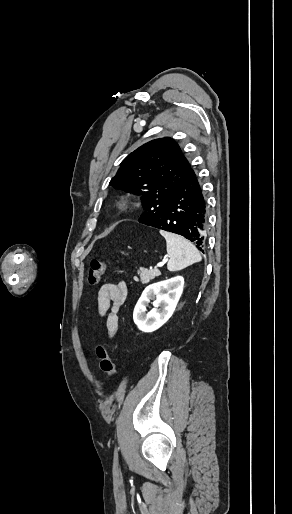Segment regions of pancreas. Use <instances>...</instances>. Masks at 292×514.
<instances>
[{"label": "pancreas", "mask_w": 292, "mask_h": 514, "mask_svg": "<svg viewBox=\"0 0 292 514\" xmlns=\"http://www.w3.org/2000/svg\"><path fill=\"white\" fill-rule=\"evenodd\" d=\"M137 274L140 276V282L142 284H148L150 280H154L156 276H160L159 270H145V268H140ZM135 282H138V278H134Z\"/></svg>", "instance_id": "pancreas-1"}]
</instances>
